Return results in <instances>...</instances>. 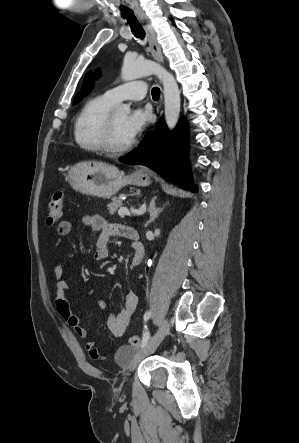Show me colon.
I'll return each mask as SVG.
<instances>
[{
    "label": "colon",
    "instance_id": "5ec220e1",
    "mask_svg": "<svg viewBox=\"0 0 299 443\" xmlns=\"http://www.w3.org/2000/svg\"><path fill=\"white\" fill-rule=\"evenodd\" d=\"M64 193L61 189H57L51 195L46 209V221L49 225L56 224L62 216ZM142 345V340L138 336L130 338V347H124L119 350L117 359L119 362H126L132 349H139Z\"/></svg>",
    "mask_w": 299,
    "mask_h": 443
}]
</instances>
